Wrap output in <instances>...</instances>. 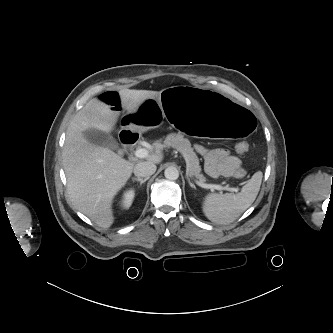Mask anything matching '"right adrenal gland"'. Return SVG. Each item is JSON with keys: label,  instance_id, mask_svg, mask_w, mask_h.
I'll use <instances>...</instances> for the list:
<instances>
[{"label": "right adrenal gland", "instance_id": "2a0ac1e0", "mask_svg": "<svg viewBox=\"0 0 333 333\" xmlns=\"http://www.w3.org/2000/svg\"><path fill=\"white\" fill-rule=\"evenodd\" d=\"M148 179H149L148 177L144 178V179L143 178H135V177L132 178L133 181L140 182V185H142L143 183H145Z\"/></svg>", "mask_w": 333, "mask_h": 333}]
</instances>
